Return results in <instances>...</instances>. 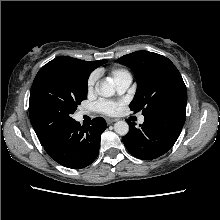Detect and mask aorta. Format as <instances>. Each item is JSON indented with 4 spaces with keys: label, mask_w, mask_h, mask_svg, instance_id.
<instances>
[{
    "label": "aorta",
    "mask_w": 220,
    "mask_h": 220,
    "mask_svg": "<svg viewBox=\"0 0 220 220\" xmlns=\"http://www.w3.org/2000/svg\"><path fill=\"white\" fill-rule=\"evenodd\" d=\"M95 89L96 92L102 97H111L115 94L113 84L106 81L96 84ZM114 131L121 136H125L129 132V125L126 121H118L114 124Z\"/></svg>",
    "instance_id": "aorta-1"
}]
</instances>
